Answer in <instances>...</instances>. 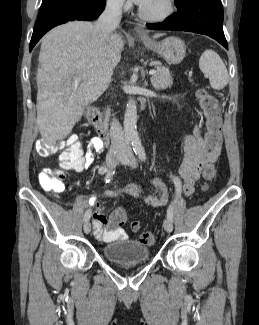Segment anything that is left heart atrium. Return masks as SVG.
Masks as SVG:
<instances>
[{
	"label": "left heart atrium",
	"instance_id": "1",
	"mask_svg": "<svg viewBox=\"0 0 259 325\" xmlns=\"http://www.w3.org/2000/svg\"><path fill=\"white\" fill-rule=\"evenodd\" d=\"M133 1L141 6H145L150 2V0H133Z\"/></svg>",
	"mask_w": 259,
	"mask_h": 325
}]
</instances>
